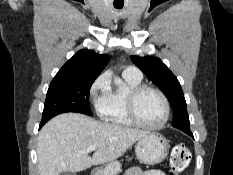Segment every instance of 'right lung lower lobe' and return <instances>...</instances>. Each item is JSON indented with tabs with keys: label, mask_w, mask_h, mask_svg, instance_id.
Returning <instances> with one entry per match:
<instances>
[{
	"label": "right lung lower lobe",
	"mask_w": 233,
	"mask_h": 175,
	"mask_svg": "<svg viewBox=\"0 0 233 175\" xmlns=\"http://www.w3.org/2000/svg\"><path fill=\"white\" fill-rule=\"evenodd\" d=\"M43 125H44V124L41 123V124H40V128H41Z\"/></svg>",
	"instance_id": "1"
}]
</instances>
